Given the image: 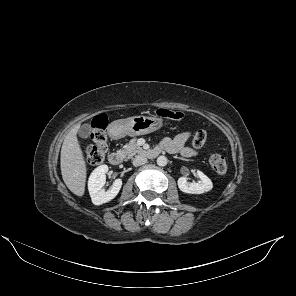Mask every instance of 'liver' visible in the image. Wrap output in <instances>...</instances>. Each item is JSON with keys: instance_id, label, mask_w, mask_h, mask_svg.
I'll list each match as a JSON object with an SVG mask.
<instances>
[{"instance_id": "6515ba94", "label": "liver", "mask_w": 296, "mask_h": 296, "mask_svg": "<svg viewBox=\"0 0 296 296\" xmlns=\"http://www.w3.org/2000/svg\"><path fill=\"white\" fill-rule=\"evenodd\" d=\"M80 125H75L65 136L61 148L60 166L62 178L68 189L77 196H83L86 183V163L77 132Z\"/></svg>"}]
</instances>
